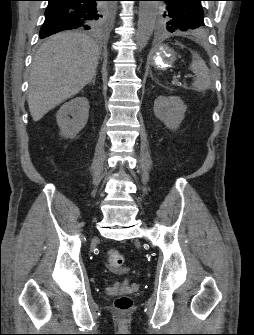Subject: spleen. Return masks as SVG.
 <instances>
[{
    "label": "spleen",
    "instance_id": "spleen-1",
    "mask_svg": "<svg viewBox=\"0 0 254 335\" xmlns=\"http://www.w3.org/2000/svg\"><path fill=\"white\" fill-rule=\"evenodd\" d=\"M189 69L196 75L192 86L197 91H205L212 85L210 70L205 61L196 54H193L192 63Z\"/></svg>",
    "mask_w": 254,
    "mask_h": 335
}]
</instances>
